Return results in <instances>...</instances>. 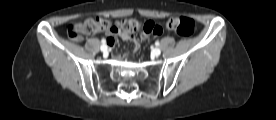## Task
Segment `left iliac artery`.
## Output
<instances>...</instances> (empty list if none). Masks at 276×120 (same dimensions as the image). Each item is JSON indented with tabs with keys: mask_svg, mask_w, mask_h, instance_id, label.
Instances as JSON below:
<instances>
[{
	"mask_svg": "<svg viewBox=\"0 0 276 120\" xmlns=\"http://www.w3.org/2000/svg\"><path fill=\"white\" fill-rule=\"evenodd\" d=\"M155 45H156V46H159V45H160V43H159L158 41H156V42H155Z\"/></svg>",
	"mask_w": 276,
	"mask_h": 120,
	"instance_id": "obj_1",
	"label": "left iliac artery"
}]
</instances>
